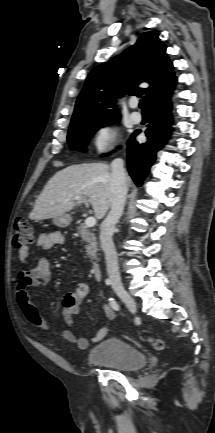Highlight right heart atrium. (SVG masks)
<instances>
[{
  "instance_id": "right-heart-atrium-1",
  "label": "right heart atrium",
  "mask_w": 215,
  "mask_h": 433,
  "mask_svg": "<svg viewBox=\"0 0 215 433\" xmlns=\"http://www.w3.org/2000/svg\"><path fill=\"white\" fill-rule=\"evenodd\" d=\"M115 131L113 128L105 126L97 130L93 137V146L98 152L108 150L114 142Z\"/></svg>"
}]
</instances>
